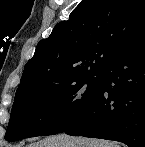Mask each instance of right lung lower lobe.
I'll use <instances>...</instances> for the list:
<instances>
[{
    "instance_id": "1",
    "label": "right lung lower lobe",
    "mask_w": 145,
    "mask_h": 147,
    "mask_svg": "<svg viewBox=\"0 0 145 147\" xmlns=\"http://www.w3.org/2000/svg\"><path fill=\"white\" fill-rule=\"evenodd\" d=\"M63 132L145 147V34L102 70L97 94Z\"/></svg>"
}]
</instances>
